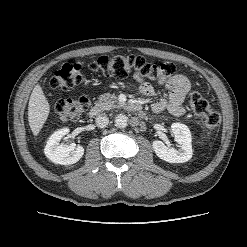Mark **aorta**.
<instances>
[{
    "mask_svg": "<svg viewBox=\"0 0 247 247\" xmlns=\"http://www.w3.org/2000/svg\"><path fill=\"white\" fill-rule=\"evenodd\" d=\"M115 125L118 128H125L128 125V117L123 114H119L115 118Z\"/></svg>",
    "mask_w": 247,
    "mask_h": 247,
    "instance_id": "762f6f07",
    "label": "aorta"
}]
</instances>
